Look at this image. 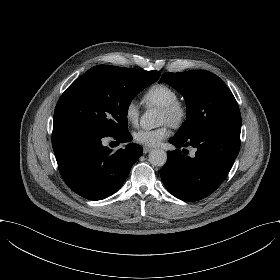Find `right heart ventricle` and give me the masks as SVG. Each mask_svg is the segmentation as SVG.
Returning a JSON list of instances; mask_svg holds the SVG:
<instances>
[{"instance_id":"e07e8e85","label":"right heart ventricle","mask_w":280,"mask_h":280,"mask_svg":"<svg viewBox=\"0 0 280 280\" xmlns=\"http://www.w3.org/2000/svg\"><path fill=\"white\" fill-rule=\"evenodd\" d=\"M178 91L164 83H155L149 86L142 95L143 102L147 105L162 106L179 100Z\"/></svg>"}]
</instances>
